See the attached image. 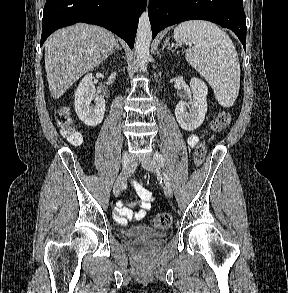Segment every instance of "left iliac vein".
Instances as JSON below:
<instances>
[{"label": "left iliac vein", "instance_id": "left-iliac-vein-1", "mask_svg": "<svg viewBox=\"0 0 288 293\" xmlns=\"http://www.w3.org/2000/svg\"><path fill=\"white\" fill-rule=\"evenodd\" d=\"M142 166L151 172H157L158 170L156 161L151 157H147L146 159H143ZM164 193L169 198L173 196V191L169 185L164 186Z\"/></svg>", "mask_w": 288, "mask_h": 293}]
</instances>
